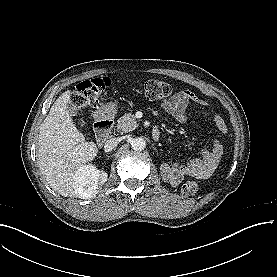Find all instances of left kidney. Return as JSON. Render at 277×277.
<instances>
[{
    "label": "left kidney",
    "instance_id": "1",
    "mask_svg": "<svg viewBox=\"0 0 277 277\" xmlns=\"http://www.w3.org/2000/svg\"><path fill=\"white\" fill-rule=\"evenodd\" d=\"M160 170H161L162 179L164 181L170 182L171 184H175L178 182L176 180L177 176L183 177V174L181 173V171L170 168L166 163L161 164Z\"/></svg>",
    "mask_w": 277,
    "mask_h": 277
}]
</instances>
